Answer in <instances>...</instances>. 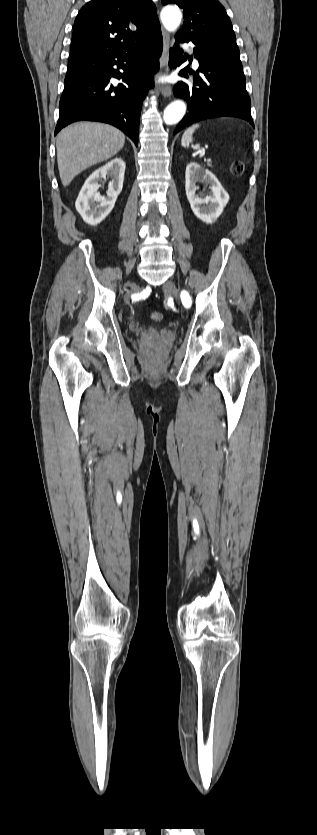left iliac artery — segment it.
<instances>
[{
	"label": "left iliac artery",
	"mask_w": 317,
	"mask_h": 835,
	"mask_svg": "<svg viewBox=\"0 0 317 835\" xmlns=\"http://www.w3.org/2000/svg\"><path fill=\"white\" fill-rule=\"evenodd\" d=\"M181 298H182V302H183L185 307H190L191 306V297H190V295L187 291H185V290L182 291Z\"/></svg>",
	"instance_id": "44dca946"
}]
</instances>
